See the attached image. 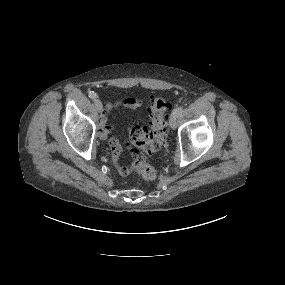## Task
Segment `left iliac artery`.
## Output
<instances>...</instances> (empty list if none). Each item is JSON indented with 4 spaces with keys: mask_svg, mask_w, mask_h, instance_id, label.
I'll use <instances>...</instances> for the list:
<instances>
[{
    "mask_svg": "<svg viewBox=\"0 0 285 285\" xmlns=\"http://www.w3.org/2000/svg\"><path fill=\"white\" fill-rule=\"evenodd\" d=\"M182 110H183V107L180 106V107L174 109L172 114H175L176 116H179L182 113Z\"/></svg>",
    "mask_w": 285,
    "mask_h": 285,
    "instance_id": "44dca946",
    "label": "left iliac artery"
}]
</instances>
